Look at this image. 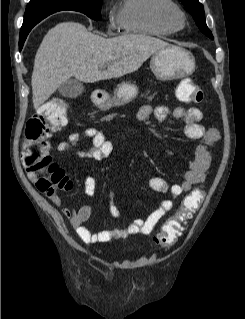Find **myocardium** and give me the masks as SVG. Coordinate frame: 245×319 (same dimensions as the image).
<instances>
[{
    "mask_svg": "<svg viewBox=\"0 0 245 319\" xmlns=\"http://www.w3.org/2000/svg\"><path fill=\"white\" fill-rule=\"evenodd\" d=\"M163 20L173 29L180 30L185 26V15L174 3L168 4L160 10Z\"/></svg>",
    "mask_w": 245,
    "mask_h": 319,
    "instance_id": "obj_1",
    "label": "myocardium"
}]
</instances>
